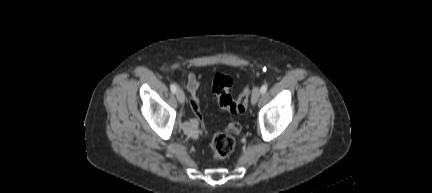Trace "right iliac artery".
Returning <instances> with one entry per match:
<instances>
[{
    "mask_svg": "<svg viewBox=\"0 0 432 193\" xmlns=\"http://www.w3.org/2000/svg\"><path fill=\"white\" fill-rule=\"evenodd\" d=\"M170 89H171V91H172L173 93H176V91H177V87H176V85H175L174 83H172V84L170 85Z\"/></svg>",
    "mask_w": 432,
    "mask_h": 193,
    "instance_id": "obj_1",
    "label": "right iliac artery"
}]
</instances>
